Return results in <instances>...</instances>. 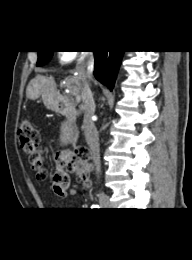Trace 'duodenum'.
Segmentation results:
<instances>
[{"label": "duodenum", "instance_id": "410a0bca", "mask_svg": "<svg viewBox=\"0 0 192 260\" xmlns=\"http://www.w3.org/2000/svg\"><path fill=\"white\" fill-rule=\"evenodd\" d=\"M55 111L58 112L59 114H62L64 116H66L71 123H74V121H75L74 111L64 101L59 100V101L56 102V104H55ZM77 137H78V131H77V128L74 127V129H73V137H72L73 144L75 143Z\"/></svg>", "mask_w": 192, "mask_h": 260}]
</instances>
